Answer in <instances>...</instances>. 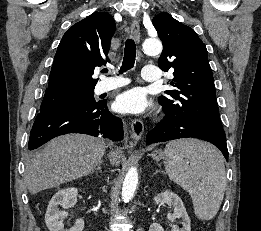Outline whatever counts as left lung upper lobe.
I'll use <instances>...</instances> for the list:
<instances>
[{"label":"left lung upper lobe","instance_id":"1","mask_svg":"<svg viewBox=\"0 0 261 231\" xmlns=\"http://www.w3.org/2000/svg\"><path fill=\"white\" fill-rule=\"evenodd\" d=\"M152 22L163 42L158 65L164 71L174 69V78L168 84L175 89L158 98L164 111L226 139L206 46L192 28L166 12L156 15Z\"/></svg>","mask_w":261,"mask_h":231}]
</instances>
